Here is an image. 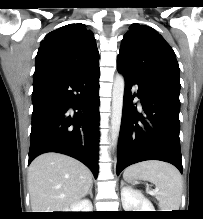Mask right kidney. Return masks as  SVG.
<instances>
[{
	"label": "right kidney",
	"instance_id": "1",
	"mask_svg": "<svg viewBox=\"0 0 203 219\" xmlns=\"http://www.w3.org/2000/svg\"><path fill=\"white\" fill-rule=\"evenodd\" d=\"M93 206L91 201L84 199L71 205L65 212H92Z\"/></svg>",
	"mask_w": 203,
	"mask_h": 219
}]
</instances>
